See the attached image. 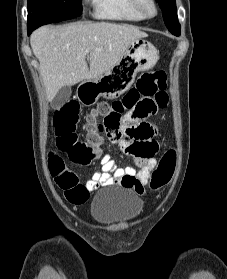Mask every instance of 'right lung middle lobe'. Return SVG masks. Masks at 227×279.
<instances>
[{
  "instance_id": "obj_1",
  "label": "right lung middle lobe",
  "mask_w": 227,
  "mask_h": 279,
  "mask_svg": "<svg viewBox=\"0 0 227 279\" xmlns=\"http://www.w3.org/2000/svg\"><path fill=\"white\" fill-rule=\"evenodd\" d=\"M81 13V0H28V25L59 22Z\"/></svg>"
}]
</instances>
